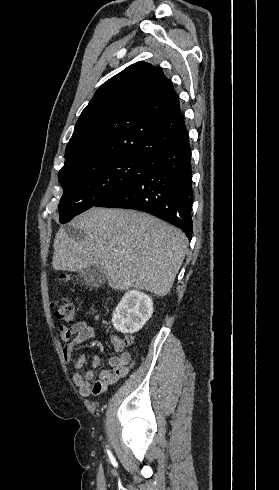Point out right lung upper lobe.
Instances as JSON below:
<instances>
[{"label": "right lung upper lobe", "mask_w": 279, "mask_h": 490, "mask_svg": "<svg viewBox=\"0 0 279 490\" xmlns=\"http://www.w3.org/2000/svg\"><path fill=\"white\" fill-rule=\"evenodd\" d=\"M187 139L171 81L161 68L137 62L103 84L82 111L59 175L95 159L151 161Z\"/></svg>", "instance_id": "cb5924a9"}]
</instances>
